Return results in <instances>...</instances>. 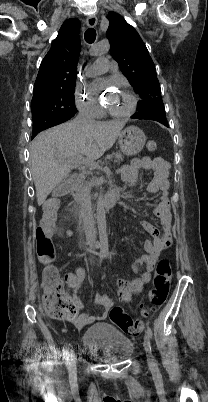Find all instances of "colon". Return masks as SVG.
Wrapping results in <instances>:
<instances>
[{"instance_id": "colon-1", "label": "colon", "mask_w": 208, "mask_h": 402, "mask_svg": "<svg viewBox=\"0 0 208 402\" xmlns=\"http://www.w3.org/2000/svg\"><path fill=\"white\" fill-rule=\"evenodd\" d=\"M146 149L155 152L157 144L155 141H148ZM53 220L46 219L45 226H51ZM37 258L41 265L45 283V299L42 300V307L47 308V314H68L69 317H76L82 300L80 297H73L74 288L70 277H60L57 259L52 256L55 244L51 232H44L42 227L38 228ZM172 277L171 264L168 260H160L156 266L153 285L149 290V303L143 308L142 315L149 316L156 308L165 304L170 289ZM110 319L121 331L129 336H138L141 332V321L133 320L121 306H113L110 309Z\"/></svg>"}]
</instances>
